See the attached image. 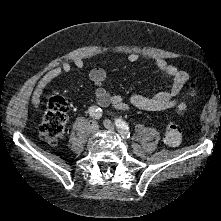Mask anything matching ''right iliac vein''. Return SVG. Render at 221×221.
<instances>
[{
    "label": "right iliac vein",
    "mask_w": 221,
    "mask_h": 221,
    "mask_svg": "<svg viewBox=\"0 0 221 221\" xmlns=\"http://www.w3.org/2000/svg\"><path fill=\"white\" fill-rule=\"evenodd\" d=\"M99 129V126L97 123H93L92 126H91V131L92 133H96Z\"/></svg>",
    "instance_id": "1"
}]
</instances>
